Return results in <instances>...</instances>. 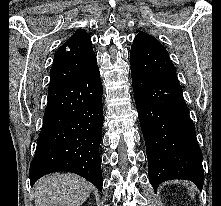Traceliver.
<instances>
[{
  "label": "liver",
  "mask_w": 221,
  "mask_h": 206,
  "mask_svg": "<svg viewBox=\"0 0 221 206\" xmlns=\"http://www.w3.org/2000/svg\"><path fill=\"white\" fill-rule=\"evenodd\" d=\"M92 185L74 174H53L35 185V206H80L89 197Z\"/></svg>",
  "instance_id": "1"
}]
</instances>
